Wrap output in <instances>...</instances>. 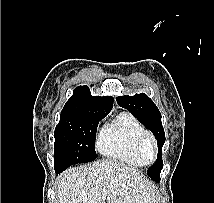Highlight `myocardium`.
<instances>
[{
	"instance_id": "myocardium-1",
	"label": "myocardium",
	"mask_w": 214,
	"mask_h": 203,
	"mask_svg": "<svg viewBox=\"0 0 214 203\" xmlns=\"http://www.w3.org/2000/svg\"><path fill=\"white\" fill-rule=\"evenodd\" d=\"M146 144H150L152 148L153 157L150 160H147L144 157V147ZM136 152L144 164H151L156 161L158 157V148L155 138L153 137L152 134L146 131L139 136V138L136 141Z\"/></svg>"
}]
</instances>
